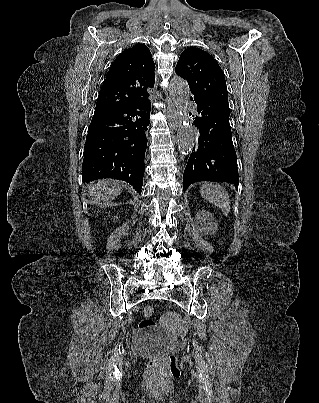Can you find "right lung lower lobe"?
Wrapping results in <instances>:
<instances>
[{"mask_svg":"<svg viewBox=\"0 0 319 403\" xmlns=\"http://www.w3.org/2000/svg\"><path fill=\"white\" fill-rule=\"evenodd\" d=\"M150 108L148 99L123 109L94 113L84 146L85 182L114 178L141 192Z\"/></svg>","mask_w":319,"mask_h":403,"instance_id":"98d812e1","label":"right lung lower lobe"}]
</instances>
